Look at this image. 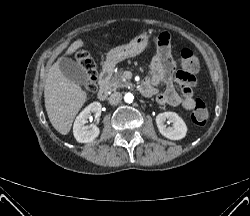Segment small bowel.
<instances>
[{
	"label": "small bowel",
	"instance_id": "small-bowel-1",
	"mask_svg": "<svg viewBox=\"0 0 250 216\" xmlns=\"http://www.w3.org/2000/svg\"><path fill=\"white\" fill-rule=\"evenodd\" d=\"M169 36L161 34L157 42L161 46L151 63L150 75L142 84V92L147 96H156L160 105L182 107L191 110L195 106L193 90L196 85L194 76H186L181 71L174 73L173 62L169 56L167 44ZM164 84L165 90L158 92V87ZM176 84L180 93L176 90Z\"/></svg>",
	"mask_w": 250,
	"mask_h": 216
}]
</instances>
